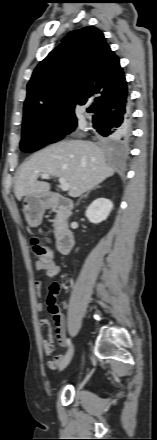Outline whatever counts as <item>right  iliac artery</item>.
Wrapping results in <instances>:
<instances>
[{
  "label": "right iliac artery",
  "mask_w": 157,
  "mask_h": 440,
  "mask_svg": "<svg viewBox=\"0 0 157 440\" xmlns=\"http://www.w3.org/2000/svg\"><path fill=\"white\" fill-rule=\"evenodd\" d=\"M67 346H68V351H69L72 347L70 339H67Z\"/></svg>",
  "instance_id": "right-iliac-artery-1"
}]
</instances>
